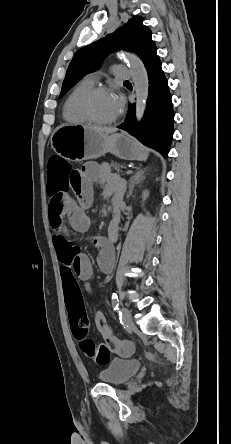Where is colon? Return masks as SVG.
Masks as SVG:
<instances>
[{
  "instance_id": "1",
  "label": "colon",
  "mask_w": 231,
  "mask_h": 444,
  "mask_svg": "<svg viewBox=\"0 0 231 444\" xmlns=\"http://www.w3.org/2000/svg\"><path fill=\"white\" fill-rule=\"evenodd\" d=\"M78 171L60 157L53 156L48 162L47 192L51 197L49 207L54 209L61 203L62 193L68 190ZM66 303L69 321L73 336L79 343L81 350L95 363L105 365L109 362L110 353H127L131 351V344L117 339L105 343H95L88 337L89 317L81 295H67Z\"/></svg>"
}]
</instances>
